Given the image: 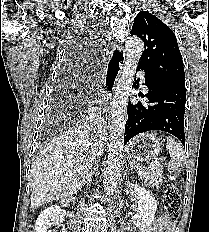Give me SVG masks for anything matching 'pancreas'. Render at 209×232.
<instances>
[{"instance_id":"obj_1","label":"pancreas","mask_w":209,"mask_h":232,"mask_svg":"<svg viewBox=\"0 0 209 232\" xmlns=\"http://www.w3.org/2000/svg\"><path fill=\"white\" fill-rule=\"evenodd\" d=\"M162 172V166L157 165L155 168L142 167L138 170V175L141 180H144L146 185L159 187L162 183Z\"/></svg>"}]
</instances>
